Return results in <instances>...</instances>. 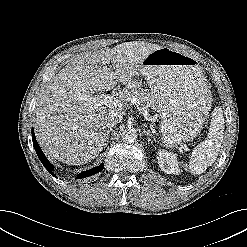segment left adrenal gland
Returning a JSON list of instances; mask_svg holds the SVG:
<instances>
[{
    "label": "left adrenal gland",
    "mask_w": 247,
    "mask_h": 247,
    "mask_svg": "<svg viewBox=\"0 0 247 247\" xmlns=\"http://www.w3.org/2000/svg\"><path fill=\"white\" fill-rule=\"evenodd\" d=\"M144 134L149 137L152 136L150 130H144Z\"/></svg>",
    "instance_id": "obj_1"
}]
</instances>
